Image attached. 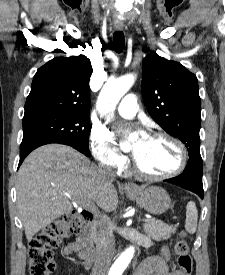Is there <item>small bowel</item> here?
<instances>
[{
    "instance_id": "1",
    "label": "small bowel",
    "mask_w": 225,
    "mask_h": 275,
    "mask_svg": "<svg viewBox=\"0 0 225 275\" xmlns=\"http://www.w3.org/2000/svg\"><path fill=\"white\" fill-rule=\"evenodd\" d=\"M76 253V242L67 244L63 249L64 255ZM168 250L164 247L158 256L148 257L142 261L134 275H182L180 270H169Z\"/></svg>"
}]
</instances>
